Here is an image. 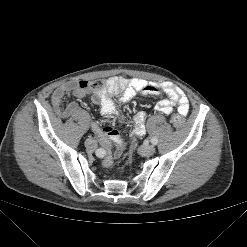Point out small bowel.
<instances>
[{
	"label": "small bowel",
	"mask_w": 247,
	"mask_h": 247,
	"mask_svg": "<svg viewBox=\"0 0 247 247\" xmlns=\"http://www.w3.org/2000/svg\"><path fill=\"white\" fill-rule=\"evenodd\" d=\"M66 93H71L76 98H83L90 94L86 81H69L57 87L51 97L53 109L60 118H68L79 114L80 109L76 102L63 104V98ZM138 94L159 96L164 94L166 97L161 99L155 106V109L165 115L172 114L176 109L178 113L185 116L189 111V102L185 93L177 86L169 83H156L143 79H126L123 77H112L106 81L105 87L100 91L92 93V101L100 106L101 114L108 120H117L118 113L115 109L113 97L117 96L121 102H127ZM146 114L140 112L135 117L134 135H142L145 132ZM91 128L100 133L102 145L111 149L114 145L119 149L116 156L121 154L123 141L116 131L110 135L101 132L97 123L92 122ZM112 163V157L107 156L104 159L105 165Z\"/></svg>",
	"instance_id": "obj_1"
}]
</instances>
